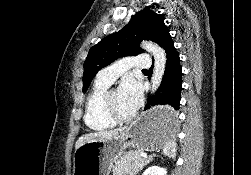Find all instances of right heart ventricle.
Wrapping results in <instances>:
<instances>
[{
	"label": "right heart ventricle",
	"mask_w": 251,
	"mask_h": 175,
	"mask_svg": "<svg viewBox=\"0 0 251 175\" xmlns=\"http://www.w3.org/2000/svg\"><path fill=\"white\" fill-rule=\"evenodd\" d=\"M109 84L95 80L84 104V122L86 126L96 132H103L111 129L115 121L108 118L101 107V100Z\"/></svg>",
	"instance_id": "e07e8e85"
}]
</instances>
